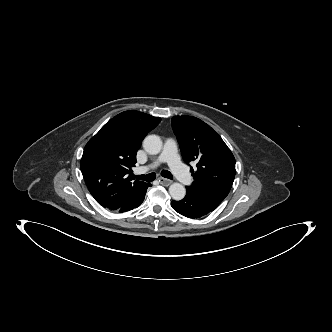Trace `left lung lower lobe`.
Wrapping results in <instances>:
<instances>
[{
  "label": "left lung lower lobe",
  "mask_w": 332,
  "mask_h": 332,
  "mask_svg": "<svg viewBox=\"0 0 332 332\" xmlns=\"http://www.w3.org/2000/svg\"><path fill=\"white\" fill-rule=\"evenodd\" d=\"M171 206L179 214L193 219L207 215L216 209L212 204L188 191L181 201H172Z\"/></svg>",
  "instance_id": "obj_1"
}]
</instances>
